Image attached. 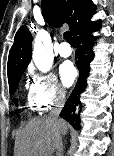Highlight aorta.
<instances>
[{
    "label": "aorta",
    "mask_w": 114,
    "mask_h": 156,
    "mask_svg": "<svg viewBox=\"0 0 114 156\" xmlns=\"http://www.w3.org/2000/svg\"><path fill=\"white\" fill-rule=\"evenodd\" d=\"M32 58L36 67L42 72H48L52 67L54 55L48 32L44 30L38 31L35 38Z\"/></svg>",
    "instance_id": "aorta-1"
}]
</instances>
